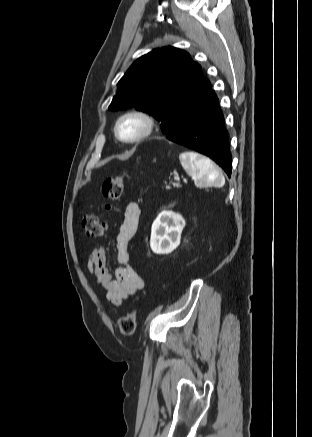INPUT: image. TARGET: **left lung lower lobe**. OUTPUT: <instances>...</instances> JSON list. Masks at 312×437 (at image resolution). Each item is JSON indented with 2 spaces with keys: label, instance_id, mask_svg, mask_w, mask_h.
I'll use <instances>...</instances> for the list:
<instances>
[{
  "label": "left lung lower lobe",
  "instance_id": "0a47b994",
  "mask_svg": "<svg viewBox=\"0 0 312 437\" xmlns=\"http://www.w3.org/2000/svg\"><path fill=\"white\" fill-rule=\"evenodd\" d=\"M170 141L191 148L214 160L230 177L232 159L224 117L212 91L189 116Z\"/></svg>",
  "mask_w": 312,
  "mask_h": 437
}]
</instances>
